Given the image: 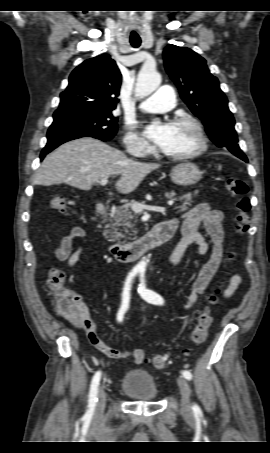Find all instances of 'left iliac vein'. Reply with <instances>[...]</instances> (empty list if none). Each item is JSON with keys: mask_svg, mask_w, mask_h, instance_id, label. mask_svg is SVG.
Returning <instances> with one entry per match:
<instances>
[{"mask_svg": "<svg viewBox=\"0 0 270 453\" xmlns=\"http://www.w3.org/2000/svg\"><path fill=\"white\" fill-rule=\"evenodd\" d=\"M177 384L181 394V412L184 415H189L191 413L189 385L183 377L177 378Z\"/></svg>", "mask_w": 270, "mask_h": 453, "instance_id": "obj_1", "label": "left iliac vein"}]
</instances>
